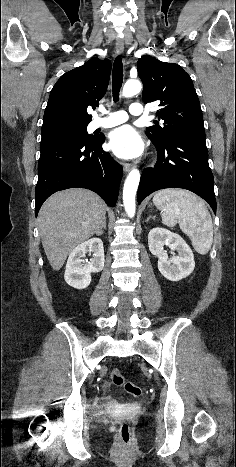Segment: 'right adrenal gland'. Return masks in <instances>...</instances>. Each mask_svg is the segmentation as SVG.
<instances>
[{
	"label": "right adrenal gland",
	"instance_id": "obj_1",
	"mask_svg": "<svg viewBox=\"0 0 236 467\" xmlns=\"http://www.w3.org/2000/svg\"><path fill=\"white\" fill-rule=\"evenodd\" d=\"M103 229H106V218L104 219L102 225L100 226L99 230L96 232V234L99 236L103 233Z\"/></svg>",
	"mask_w": 236,
	"mask_h": 467
}]
</instances>
